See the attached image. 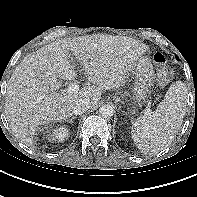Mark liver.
Wrapping results in <instances>:
<instances>
[{
  "label": "liver",
  "instance_id": "liver-1",
  "mask_svg": "<svg viewBox=\"0 0 197 197\" xmlns=\"http://www.w3.org/2000/svg\"><path fill=\"white\" fill-rule=\"evenodd\" d=\"M147 50L130 37L95 34L61 39L28 55L11 75L5 97V115L15 137L34 146L39 126L66 120L76 100L88 99L91 107L96 106L104 90L124 85L134 62ZM70 51L93 83L74 94L58 92L57 78L73 80L76 76Z\"/></svg>",
  "mask_w": 197,
  "mask_h": 197
}]
</instances>
